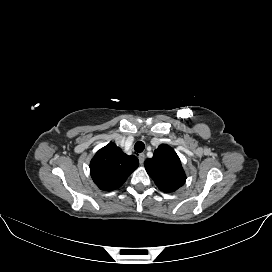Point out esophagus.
Returning a JSON list of instances; mask_svg holds the SVG:
<instances>
[{
    "label": "esophagus",
    "mask_w": 272,
    "mask_h": 272,
    "mask_svg": "<svg viewBox=\"0 0 272 272\" xmlns=\"http://www.w3.org/2000/svg\"><path fill=\"white\" fill-rule=\"evenodd\" d=\"M138 159H139L140 164L143 165L144 161H145V154L144 153L139 154Z\"/></svg>",
    "instance_id": "34e87169"
}]
</instances>
